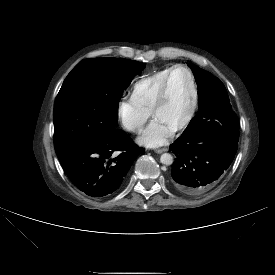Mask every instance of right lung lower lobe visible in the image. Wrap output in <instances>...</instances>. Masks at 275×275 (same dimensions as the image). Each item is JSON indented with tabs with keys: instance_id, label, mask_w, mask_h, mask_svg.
Here are the masks:
<instances>
[{
	"instance_id": "obj_1",
	"label": "right lung lower lobe",
	"mask_w": 275,
	"mask_h": 275,
	"mask_svg": "<svg viewBox=\"0 0 275 275\" xmlns=\"http://www.w3.org/2000/svg\"><path fill=\"white\" fill-rule=\"evenodd\" d=\"M117 151L120 154L113 158ZM143 151L124 132L115 130L68 146L57 155L79 190L92 197H102L119 188L131 164Z\"/></svg>"
}]
</instances>
